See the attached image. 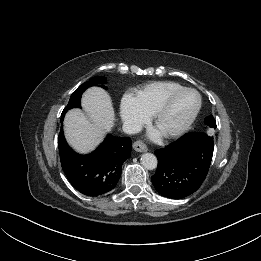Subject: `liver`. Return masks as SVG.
Wrapping results in <instances>:
<instances>
[{
    "instance_id": "1",
    "label": "liver",
    "mask_w": 261,
    "mask_h": 261,
    "mask_svg": "<svg viewBox=\"0 0 261 261\" xmlns=\"http://www.w3.org/2000/svg\"><path fill=\"white\" fill-rule=\"evenodd\" d=\"M82 107L68 111L64 120V134L68 144L77 152L92 151L114 125L115 114L111 98L100 87L88 88L82 96Z\"/></svg>"
}]
</instances>
